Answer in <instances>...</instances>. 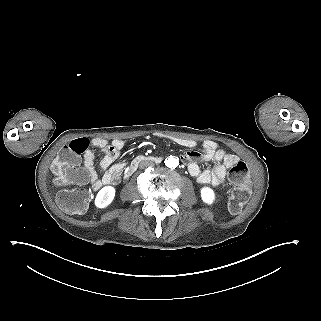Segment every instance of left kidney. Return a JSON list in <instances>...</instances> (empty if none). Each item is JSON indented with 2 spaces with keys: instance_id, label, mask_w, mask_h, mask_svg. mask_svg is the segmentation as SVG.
Instances as JSON below:
<instances>
[{
  "instance_id": "obj_1",
  "label": "left kidney",
  "mask_w": 321,
  "mask_h": 321,
  "mask_svg": "<svg viewBox=\"0 0 321 321\" xmlns=\"http://www.w3.org/2000/svg\"><path fill=\"white\" fill-rule=\"evenodd\" d=\"M201 198L203 202L207 203L208 205H211L215 200V193L211 188L203 187L201 189Z\"/></svg>"
}]
</instances>
